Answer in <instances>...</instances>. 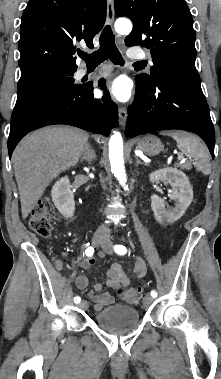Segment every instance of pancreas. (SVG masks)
I'll list each match as a JSON object with an SVG mask.
<instances>
[{
    "label": "pancreas",
    "mask_w": 221,
    "mask_h": 379,
    "mask_svg": "<svg viewBox=\"0 0 221 379\" xmlns=\"http://www.w3.org/2000/svg\"><path fill=\"white\" fill-rule=\"evenodd\" d=\"M178 167H180L181 169L189 170L191 168V164L190 163L179 164Z\"/></svg>",
    "instance_id": "pancreas-1"
}]
</instances>
